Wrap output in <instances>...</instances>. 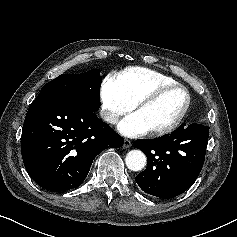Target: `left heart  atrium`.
Segmentation results:
<instances>
[{
    "label": "left heart atrium",
    "mask_w": 237,
    "mask_h": 237,
    "mask_svg": "<svg viewBox=\"0 0 237 237\" xmlns=\"http://www.w3.org/2000/svg\"><path fill=\"white\" fill-rule=\"evenodd\" d=\"M118 130L120 133L128 137L140 136L148 131L147 127L136 112L126 116L119 123Z\"/></svg>",
    "instance_id": "39dd6f15"
}]
</instances>
